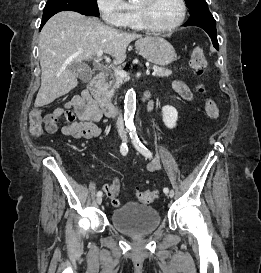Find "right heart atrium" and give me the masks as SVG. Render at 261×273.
Here are the masks:
<instances>
[{
	"label": "right heart atrium",
	"mask_w": 261,
	"mask_h": 273,
	"mask_svg": "<svg viewBox=\"0 0 261 273\" xmlns=\"http://www.w3.org/2000/svg\"><path fill=\"white\" fill-rule=\"evenodd\" d=\"M97 5L107 24L124 27L128 15V4L124 0H97Z\"/></svg>",
	"instance_id": "obj_1"
}]
</instances>
